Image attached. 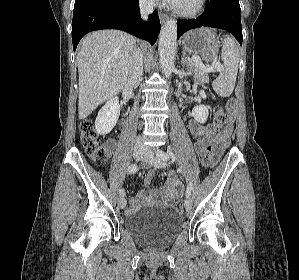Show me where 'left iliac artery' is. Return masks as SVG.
<instances>
[{
    "label": "left iliac artery",
    "mask_w": 299,
    "mask_h": 280,
    "mask_svg": "<svg viewBox=\"0 0 299 280\" xmlns=\"http://www.w3.org/2000/svg\"><path fill=\"white\" fill-rule=\"evenodd\" d=\"M157 155L163 159L164 161H167L169 160V158H174L173 157V153L171 151H167V152H164L162 150H158L157 151ZM191 191H192V183L190 182L187 186V189H186V195L187 197L191 194Z\"/></svg>",
    "instance_id": "1"
}]
</instances>
